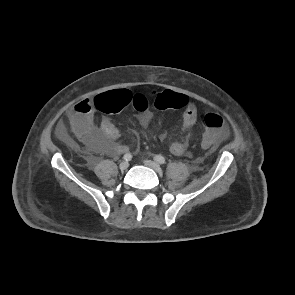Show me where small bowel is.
<instances>
[{
    "mask_svg": "<svg viewBox=\"0 0 295 295\" xmlns=\"http://www.w3.org/2000/svg\"><path fill=\"white\" fill-rule=\"evenodd\" d=\"M91 103L92 100L90 99L82 100L68 113V117L77 137L93 152L109 155L127 152L129 150L128 145L119 141L120 133L108 118H102L99 125L96 126L93 117V107L89 110L82 109L81 106L83 104ZM197 118V106L188 98L182 113L181 135L177 140L173 141L169 147L173 155L186 157L192 155L190 145L195 135ZM139 120L145 129L151 126L152 117L150 114L141 112ZM59 131L62 136H65L61 126H59ZM159 137L160 139H164L165 134L161 133Z\"/></svg>",
    "mask_w": 295,
    "mask_h": 295,
    "instance_id": "obj_1",
    "label": "small bowel"
}]
</instances>
